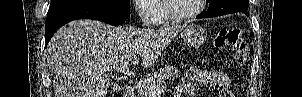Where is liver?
Returning <instances> with one entry per match:
<instances>
[{
    "instance_id": "obj_1",
    "label": "liver",
    "mask_w": 302,
    "mask_h": 97,
    "mask_svg": "<svg viewBox=\"0 0 302 97\" xmlns=\"http://www.w3.org/2000/svg\"><path fill=\"white\" fill-rule=\"evenodd\" d=\"M186 25L159 29L112 27L77 20L61 27L46 49L54 97H106L110 79L104 68L124 61L150 67Z\"/></svg>"
}]
</instances>
